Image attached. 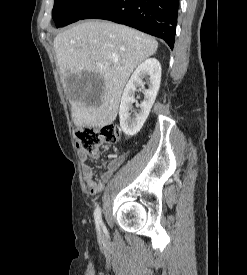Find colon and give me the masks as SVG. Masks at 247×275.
<instances>
[{
    "label": "colon",
    "instance_id": "1",
    "mask_svg": "<svg viewBox=\"0 0 247 275\" xmlns=\"http://www.w3.org/2000/svg\"><path fill=\"white\" fill-rule=\"evenodd\" d=\"M120 136V129L113 124L102 127H83L76 132L78 147L94 158L97 157L98 148L102 143H117Z\"/></svg>",
    "mask_w": 247,
    "mask_h": 275
}]
</instances>
